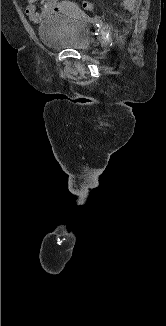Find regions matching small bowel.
<instances>
[{
    "label": "small bowel",
    "mask_w": 166,
    "mask_h": 326,
    "mask_svg": "<svg viewBox=\"0 0 166 326\" xmlns=\"http://www.w3.org/2000/svg\"><path fill=\"white\" fill-rule=\"evenodd\" d=\"M40 6V9L38 7ZM71 8L66 1L59 0H27L25 8L26 15L34 22H38L43 18L58 13L69 12Z\"/></svg>",
    "instance_id": "obj_1"
}]
</instances>
